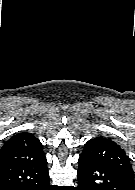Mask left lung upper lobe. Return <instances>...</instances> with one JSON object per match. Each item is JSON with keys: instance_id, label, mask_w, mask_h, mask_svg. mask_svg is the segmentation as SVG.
Returning <instances> with one entry per match:
<instances>
[{"instance_id": "1", "label": "left lung upper lobe", "mask_w": 135, "mask_h": 190, "mask_svg": "<svg viewBox=\"0 0 135 190\" xmlns=\"http://www.w3.org/2000/svg\"><path fill=\"white\" fill-rule=\"evenodd\" d=\"M81 156L98 160L118 172L134 185L135 175L125 151L111 138L96 137L89 140Z\"/></svg>"}]
</instances>
